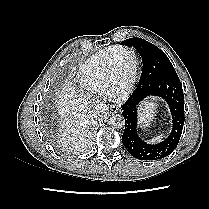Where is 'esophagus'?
Masks as SVG:
<instances>
[{"label":"esophagus","instance_id":"obj_1","mask_svg":"<svg viewBox=\"0 0 209 209\" xmlns=\"http://www.w3.org/2000/svg\"><path fill=\"white\" fill-rule=\"evenodd\" d=\"M110 110H111L112 113H117L118 110H119V108L116 105H112L111 108H110Z\"/></svg>","mask_w":209,"mask_h":209}]
</instances>
